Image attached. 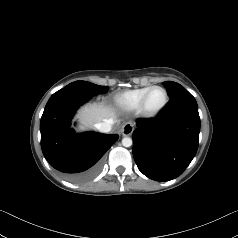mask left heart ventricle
<instances>
[{
  "mask_svg": "<svg viewBox=\"0 0 238 238\" xmlns=\"http://www.w3.org/2000/svg\"><path fill=\"white\" fill-rule=\"evenodd\" d=\"M164 92L160 89L152 91L148 98L147 106L149 109L154 110L159 108L164 102Z\"/></svg>",
  "mask_w": 238,
  "mask_h": 238,
  "instance_id": "left-heart-ventricle-1",
  "label": "left heart ventricle"
}]
</instances>
